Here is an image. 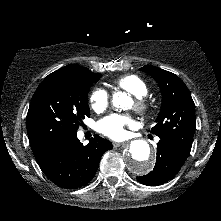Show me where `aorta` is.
<instances>
[{
  "instance_id": "1",
  "label": "aorta",
  "mask_w": 221,
  "mask_h": 221,
  "mask_svg": "<svg viewBox=\"0 0 221 221\" xmlns=\"http://www.w3.org/2000/svg\"><path fill=\"white\" fill-rule=\"evenodd\" d=\"M129 101L130 98L123 92H119L113 96V105L115 108H125L128 106ZM123 157L126 168L136 175L150 172L154 165L150 157L149 144L141 139L131 141Z\"/></svg>"
}]
</instances>
